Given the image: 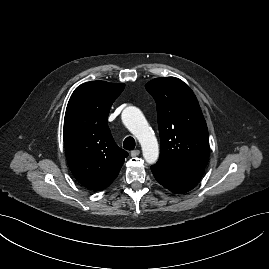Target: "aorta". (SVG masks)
Segmentation results:
<instances>
[{
  "label": "aorta",
  "instance_id": "obj_1",
  "mask_svg": "<svg viewBox=\"0 0 269 269\" xmlns=\"http://www.w3.org/2000/svg\"><path fill=\"white\" fill-rule=\"evenodd\" d=\"M122 121L129 131L138 139L142 147L145 161L148 164H154L159 157V146L143 113L136 107H127L122 112Z\"/></svg>",
  "mask_w": 269,
  "mask_h": 269
}]
</instances>
